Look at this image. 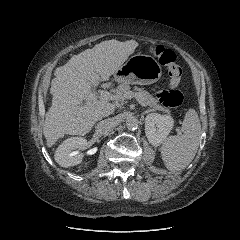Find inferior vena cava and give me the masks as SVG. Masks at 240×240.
Listing matches in <instances>:
<instances>
[{"label":"inferior vena cava","mask_w":240,"mask_h":240,"mask_svg":"<svg viewBox=\"0 0 240 240\" xmlns=\"http://www.w3.org/2000/svg\"><path fill=\"white\" fill-rule=\"evenodd\" d=\"M115 126V120L112 118L104 119L100 121L96 126V132L104 134L111 131Z\"/></svg>","instance_id":"1"}]
</instances>
